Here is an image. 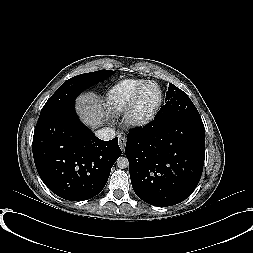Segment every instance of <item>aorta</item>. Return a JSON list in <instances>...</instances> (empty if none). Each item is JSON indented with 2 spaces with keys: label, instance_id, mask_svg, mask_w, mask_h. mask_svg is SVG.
Returning <instances> with one entry per match:
<instances>
[{
  "label": "aorta",
  "instance_id": "762f6f07",
  "mask_svg": "<svg viewBox=\"0 0 253 253\" xmlns=\"http://www.w3.org/2000/svg\"><path fill=\"white\" fill-rule=\"evenodd\" d=\"M116 164H117L118 168L125 169L129 166V161H128L127 157L120 156L117 159Z\"/></svg>",
  "mask_w": 253,
  "mask_h": 253
}]
</instances>
